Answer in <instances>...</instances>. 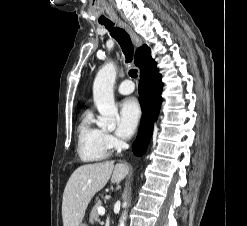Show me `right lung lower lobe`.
<instances>
[{
	"instance_id": "98d812e1",
	"label": "right lung lower lobe",
	"mask_w": 247,
	"mask_h": 226,
	"mask_svg": "<svg viewBox=\"0 0 247 226\" xmlns=\"http://www.w3.org/2000/svg\"><path fill=\"white\" fill-rule=\"evenodd\" d=\"M162 87L161 75L158 73L156 63L151 58L146 67L140 71L139 94L142 117L138 136L132 146L133 152L137 156H141L146 151L150 141L153 124L162 102Z\"/></svg>"
}]
</instances>
